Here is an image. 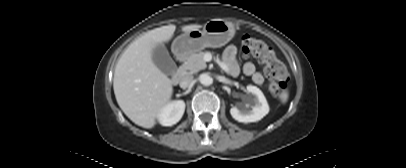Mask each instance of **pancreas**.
<instances>
[{
	"instance_id": "obj_1",
	"label": "pancreas",
	"mask_w": 406,
	"mask_h": 168,
	"mask_svg": "<svg viewBox=\"0 0 406 168\" xmlns=\"http://www.w3.org/2000/svg\"><path fill=\"white\" fill-rule=\"evenodd\" d=\"M206 52H199V53H194L191 54L188 58L187 61L184 62L179 68V72L181 74L185 73H197L200 70H203L207 67V64L204 60V55Z\"/></svg>"
}]
</instances>
